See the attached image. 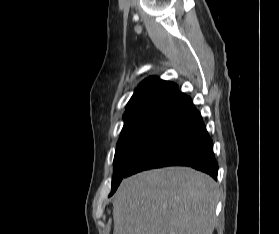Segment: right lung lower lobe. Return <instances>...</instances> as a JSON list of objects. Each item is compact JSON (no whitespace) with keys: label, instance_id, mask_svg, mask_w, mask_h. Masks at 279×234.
<instances>
[{"label":"right lung lower lobe","instance_id":"obj_1","mask_svg":"<svg viewBox=\"0 0 279 234\" xmlns=\"http://www.w3.org/2000/svg\"><path fill=\"white\" fill-rule=\"evenodd\" d=\"M172 165L189 166L217 179L213 142L189 96L172 107L154 129L131 160L125 177Z\"/></svg>","mask_w":279,"mask_h":234}]
</instances>
